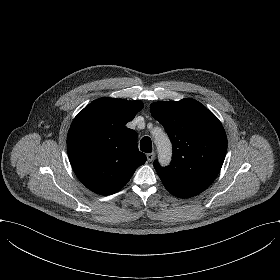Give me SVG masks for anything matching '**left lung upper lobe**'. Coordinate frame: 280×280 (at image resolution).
<instances>
[{"label": "left lung upper lobe", "mask_w": 280, "mask_h": 280, "mask_svg": "<svg viewBox=\"0 0 280 280\" xmlns=\"http://www.w3.org/2000/svg\"><path fill=\"white\" fill-rule=\"evenodd\" d=\"M152 116L165 128L173 146L172 161L154 168L165 188L179 198L193 197L207 189L225 159L227 137L220 121L200 102H154Z\"/></svg>", "instance_id": "5c2ea615"}]
</instances>
